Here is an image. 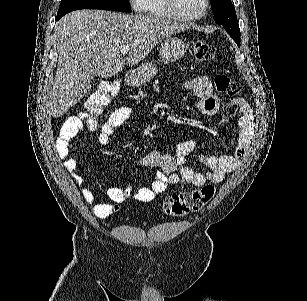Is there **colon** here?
<instances>
[{
  "mask_svg": "<svg viewBox=\"0 0 307 301\" xmlns=\"http://www.w3.org/2000/svg\"><path fill=\"white\" fill-rule=\"evenodd\" d=\"M193 55L200 62H207L214 58L215 48L205 42L196 41L193 43ZM216 89L224 94L236 95L241 91L239 82L226 75H216L214 78ZM120 83L118 81H108L88 99L84 111L79 115L82 126L88 130H96L99 126V119L103 115L105 108L119 94ZM215 187L206 184L200 189L183 192L170 197L163 204V211L173 217L184 216L192 212L201 210L214 196Z\"/></svg>",
  "mask_w": 307,
  "mask_h": 301,
  "instance_id": "obj_1",
  "label": "colon"
}]
</instances>
